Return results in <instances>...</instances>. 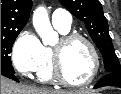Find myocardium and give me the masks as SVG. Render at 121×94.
<instances>
[{
	"label": "myocardium",
	"instance_id": "obj_1",
	"mask_svg": "<svg viewBox=\"0 0 121 94\" xmlns=\"http://www.w3.org/2000/svg\"><path fill=\"white\" fill-rule=\"evenodd\" d=\"M82 41L86 44V46L89 48L90 53L93 58V63H94V69L90 77L83 82L80 83H75L71 80H69L66 75L64 74V69H63V49L70 44L73 41ZM100 57L99 54L94 46V44L84 35L79 34V33H68L62 35V37L59 40V45L54 46L52 49V73L54 79L68 87H83L91 84L95 78L97 77L99 71H100Z\"/></svg>",
	"mask_w": 121,
	"mask_h": 94
}]
</instances>
